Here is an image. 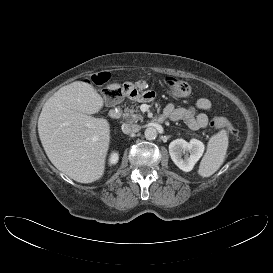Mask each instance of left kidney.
<instances>
[{
    "label": "left kidney",
    "instance_id": "obj_1",
    "mask_svg": "<svg viewBox=\"0 0 273 273\" xmlns=\"http://www.w3.org/2000/svg\"><path fill=\"white\" fill-rule=\"evenodd\" d=\"M204 148V144L197 139H191L190 142L176 139L169 144V154L179 169L189 172L203 155ZM188 152L190 155L187 154Z\"/></svg>",
    "mask_w": 273,
    "mask_h": 273
}]
</instances>
